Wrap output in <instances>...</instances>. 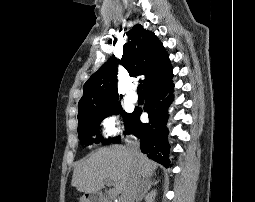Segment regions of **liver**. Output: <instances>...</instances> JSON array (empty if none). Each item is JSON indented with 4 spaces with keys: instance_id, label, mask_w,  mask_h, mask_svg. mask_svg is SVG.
<instances>
[{
    "instance_id": "liver-1",
    "label": "liver",
    "mask_w": 255,
    "mask_h": 202,
    "mask_svg": "<svg viewBox=\"0 0 255 202\" xmlns=\"http://www.w3.org/2000/svg\"><path fill=\"white\" fill-rule=\"evenodd\" d=\"M157 164L139 152L133 156L128 147L113 145L81 160L73 171L71 185L79 192L97 193L105 181H113L116 194H121L134 173L146 178L153 175Z\"/></svg>"
}]
</instances>
